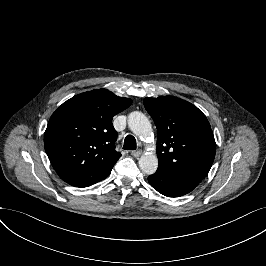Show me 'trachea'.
<instances>
[{
	"label": "trachea",
	"mask_w": 266,
	"mask_h": 266,
	"mask_svg": "<svg viewBox=\"0 0 266 266\" xmlns=\"http://www.w3.org/2000/svg\"><path fill=\"white\" fill-rule=\"evenodd\" d=\"M137 148L136 140L132 135H128L124 140V150H135Z\"/></svg>",
	"instance_id": "obj_1"
}]
</instances>
